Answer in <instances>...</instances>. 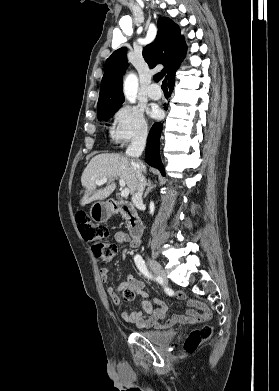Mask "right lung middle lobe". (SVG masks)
I'll list each match as a JSON object with an SVG mask.
<instances>
[{"label":"right lung middle lobe","mask_w":279,"mask_h":391,"mask_svg":"<svg viewBox=\"0 0 279 391\" xmlns=\"http://www.w3.org/2000/svg\"><path fill=\"white\" fill-rule=\"evenodd\" d=\"M118 109H119V107H113V108L103 110V111L97 113L98 119L99 120H108L110 117H112V115L114 113L117 112Z\"/></svg>","instance_id":"obj_1"}]
</instances>
